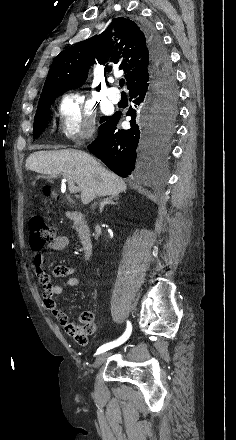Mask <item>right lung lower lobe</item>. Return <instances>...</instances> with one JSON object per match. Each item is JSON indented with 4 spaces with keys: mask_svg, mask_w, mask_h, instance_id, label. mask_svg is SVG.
<instances>
[{
    "mask_svg": "<svg viewBox=\"0 0 236 440\" xmlns=\"http://www.w3.org/2000/svg\"><path fill=\"white\" fill-rule=\"evenodd\" d=\"M151 57L152 77L149 83L129 92L132 105L127 112L131 116V128L116 131L120 113L105 117L99 134L88 149L121 177L143 171L156 163L164 153L159 140L157 113L160 109L154 99V88L167 82L175 83V75L169 54L161 37L148 24L141 25Z\"/></svg>",
    "mask_w": 236,
    "mask_h": 440,
    "instance_id": "1",
    "label": "right lung lower lobe"
}]
</instances>
